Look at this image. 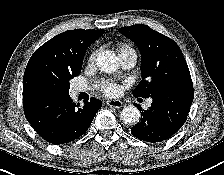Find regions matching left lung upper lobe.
<instances>
[{"mask_svg":"<svg viewBox=\"0 0 224 175\" xmlns=\"http://www.w3.org/2000/svg\"><path fill=\"white\" fill-rule=\"evenodd\" d=\"M119 31L135 42L141 53L142 81L134 96L149 97L169 90L194 92L185 58L173 40L142 24Z\"/></svg>","mask_w":224,"mask_h":175,"instance_id":"left-lung-upper-lobe-1","label":"left lung upper lobe"}]
</instances>
